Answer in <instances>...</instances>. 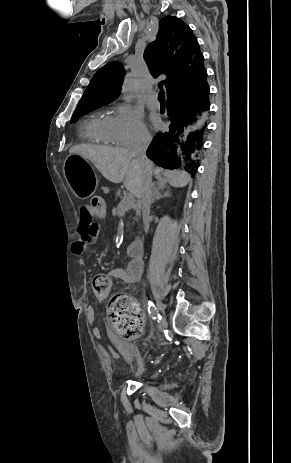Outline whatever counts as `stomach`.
I'll return each instance as SVG.
<instances>
[{"label":"stomach","mask_w":291,"mask_h":463,"mask_svg":"<svg viewBox=\"0 0 291 463\" xmlns=\"http://www.w3.org/2000/svg\"><path fill=\"white\" fill-rule=\"evenodd\" d=\"M64 176L76 197L86 199L93 194L96 180L87 159L70 154L64 162Z\"/></svg>","instance_id":"stomach-1"}]
</instances>
